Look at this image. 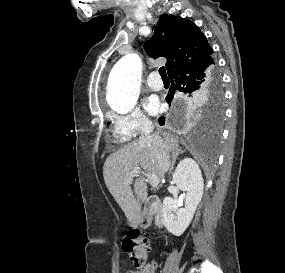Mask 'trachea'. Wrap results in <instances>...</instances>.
Masks as SVG:
<instances>
[{"label": "trachea", "mask_w": 285, "mask_h": 273, "mask_svg": "<svg viewBox=\"0 0 285 273\" xmlns=\"http://www.w3.org/2000/svg\"><path fill=\"white\" fill-rule=\"evenodd\" d=\"M159 74L162 77V79H168L164 66L159 68Z\"/></svg>", "instance_id": "3493384b"}]
</instances>
